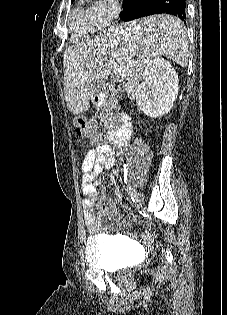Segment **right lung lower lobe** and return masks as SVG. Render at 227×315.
Returning <instances> with one entry per match:
<instances>
[{
    "mask_svg": "<svg viewBox=\"0 0 227 315\" xmlns=\"http://www.w3.org/2000/svg\"><path fill=\"white\" fill-rule=\"evenodd\" d=\"M171 14L185 22V0H123L120 18L131 21L153 14Z\"/></svg>",
    "mask_w": 227,
    "mask_h": 315,
    "instance_id": "1",
    "label": "right lung lower lobe"
}]
</instances>
